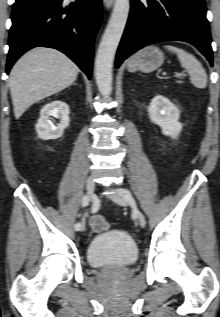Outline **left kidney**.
<instances>
[{
    "label": "left kidney",
    "mask_w": 220,
    "mask_h": 317,
    "mask_svg": "<svg viewBox=\"0 0 220 317\" xmlns=\"http://www.w3.org/2000/svg\"><path fill=\"white\" fill-rule=\"evenodd\" d=\"M150 119L159 125L162 133L176 138L181 131V124L178 122V109L164 96L156 95L148 107Z\"/></svg>",
    "instance_id": "left-kidney-1"
}]
</instances>
